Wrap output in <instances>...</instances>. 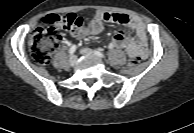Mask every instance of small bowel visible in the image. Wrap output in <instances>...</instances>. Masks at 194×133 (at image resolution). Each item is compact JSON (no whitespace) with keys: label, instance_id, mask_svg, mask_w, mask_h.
<instances>
[{"label":"small bowel","instance_id":"small-bowel-1","mask_svg":"<svg viewBox=\"0 0 194 133\" xmlns=\"http://www.w3.org/2000/svg\"><path fill=\"white\" fill-rule=\"evenodd\" d=\"M105 22L117 23L129 27L135 33V38H133L125 29L118 31L109 44V49H123L127 52L129 58L139 57L143 60L148 58L147 29L144 22L134 15L115 12H97L90 23L75 36L97 35L103 30V24Z\"/></svg>","mask_w":194,"mask_h":133}]
</instances>
